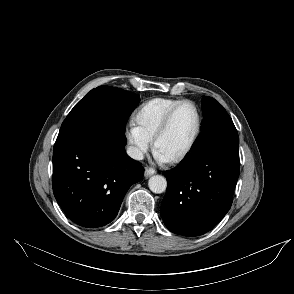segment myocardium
Instances as JSON below:
<instances>
[{
    "label": "myocardium",
    "mask_w": 294,
    "mask_h": 294,
    "mask_svg": "<svg viewBox=\"0 0 294 294\" xmlns=\"http://www.w3.org/2000/svg\"><path fill=\"white\" fill-rule=\"evenodd\" d=\"M185 104H189L191 106H193L195 112H196V116H197V123H196V127L195 130L193 132V135L189 141V143L187 144V146L177 155L167 159L166 161L168 163H178L180 161H182L183 159H185L190 152L193 150L199 136L201 133V129H202V123H203V117L201 114V110L199 108V106L192 100H188V99H184L179 101L177 104H175L165 115V117L163 118L159 128L157 129L154 137H153V149L156 152V147L158 142L160 141V139L164 136V134L167 132V130L170 127V124L172 122V119L174 117V115L176 114V112L179 110L180 107H182Z\"/></svg>",
    "instance_id": "obj_1"
}]
</instances>
